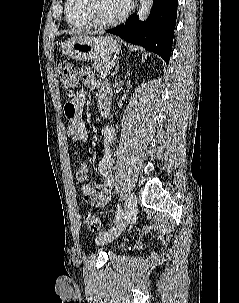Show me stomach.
Segmentation results:
<instances>
[{"label":"stomach","instance_id":"obj_1","mask_svg":"<svg viewBox=\"0 0 239 303\" xmlns=\"http://www.w3.org/2000/svg\"><path fill=\"white\" fill-rule=\"evenodd\" d=\"M121 45L111 36H79L67 40L63 52L79 61L108 59L120 51Z\"/></svg>","mask_w":239,"mask_h":303}]
</instances>
